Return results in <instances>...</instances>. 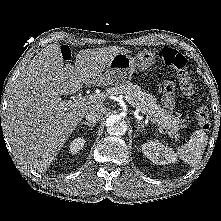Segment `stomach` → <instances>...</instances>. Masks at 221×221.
<instances>
[{"label":"stomach","mask_w":221,"mask_h":221,"mask_svg":"<svg viewBox=\"0 0 221 221\" xmlns=\"http://www.w3.org/2000/svg\"><path fill=\"white\" fill-rule=\"evenodd\" d=\"M155 61V52L150 49L139 51L135 57L128 53L117 54L105 69L103 74L105 84L120 85L129 81L136 71L150 67Z\"/></svg>","instance_id":"0dacf381"}]
</instances>
